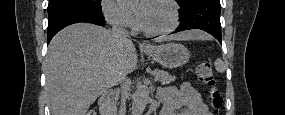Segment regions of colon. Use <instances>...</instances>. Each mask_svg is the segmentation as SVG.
<instances>
[{
    "instance_id": "obj_1",
    "label": "colon",
    "mask_w": 285,
    "mask_h": 115,
    "mask_svg": "<svg viewBox=\"0 0 285 115\" xmlns=\"http://www.w3.org/2000/svg\"><path fill=\"white\" fill-rule=\"evenodd\" d=\"M196 74L199 81L206 85L210 90L209 103L212 114L218 113L222 106V97L216 89V82L210 64L207 62L200 63L196 68ZM88 115H97V112L91 109L88 112Z\"/></svg>"
}]
</instances>
